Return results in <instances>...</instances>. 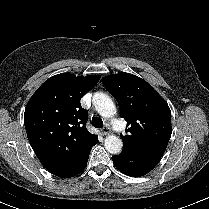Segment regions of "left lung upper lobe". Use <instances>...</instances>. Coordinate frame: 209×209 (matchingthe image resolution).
I'll return each instance as SVG.
<instances>
[{
    "label": "left lung upper lobe",
    "instance_id": "1",
    "mask_svg": "<svg viewBox=\"0 0 209 209\" xmlns=\"http://www.w3.org/2000/svg\"><path fill=\"white\" fill-rule=\"evenodd\" d=\"M102 82L127 121V135H121L123 150L161 158L172 133L165 100L145 80L129 73L107 76Z\"/></svg>",
    "mask_w": 209,
    "mask_h": 209
}]
</instances>
